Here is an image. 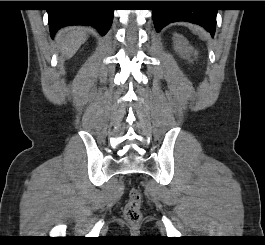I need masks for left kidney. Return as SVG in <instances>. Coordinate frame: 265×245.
Here are the masks:
<instances>
[{
    "mask_svg": "<svg viewBox=\"0 0 265 245\" xmlns=\"http://www.w3.org/2000/svg\"><path fill=\"white\" fill-rule=\"evenodd\" d=\"M173 43L174 49L178 52L183 58L189 59L191 55H197L194 48L190 46L189 42L187 41L184 36L175 33L173 35Z\"/></svg>",
    "mask_w": 265,
    "mask_h": 245,
    "instance_id": "5707ae66",
    "label": "left kidney"
}]
</instances>
